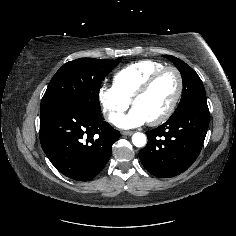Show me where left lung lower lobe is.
<instances>
[{
  "label": "left lung lower lobe",
  "mask_w": 236,
  "mask_h": 236,
  "mask_svg": "<svg viewBox=\"0 0 236 236\" xmlns=\"http://www.w3.org/2000/svg\"><path fill=\"white\" fill-rule=\"evenodd\" d=\"M208 126L206 101L172 115L158 128L146 132L148 143L139 153L143 166L160 178L184 172L200 154Z\"/></svg>",
  "instance_id": "0a47b994"
}]
</instances>
